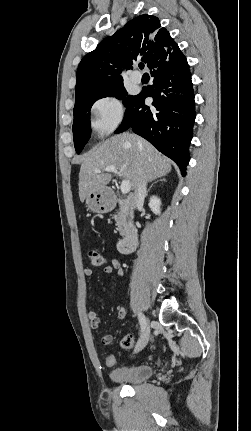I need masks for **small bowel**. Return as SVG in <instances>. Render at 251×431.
<instances>
[{
  "instance_id": "1",
  "label": "small bowel",
  "mask_w": 251,
  "mask_h": 431,
  "mask_svg": "<svg viewBox=\"0 0 251 431\" xmlns=\"http://www.w3.org/2000/svg\"><path fill=\"white\" fill-rule=\"evenodd\" d=\"M103 272L106 274L115 273L117 277H122L124 275V269L121 263L117 259H111L109 265H105L103 267ZM84 274L87 277H91L93 275V270L91 268H85ZM87 316L90 322V325L93 329H97L100 326L101 320L94 310H89L87 312ZM126 316V310L124 307H118L117 309V320H122ZM113 341V337L110 334H105L100 337V342L103 345H109Z\"/></svg>"
}]
</instances>
